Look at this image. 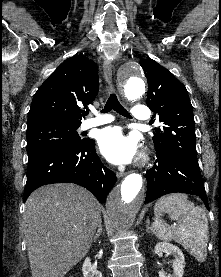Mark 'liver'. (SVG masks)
<instances>
[{
	"instance_id": "6515ba94",
	"label": "liver",
	"mask_w": 221,
	"mask_h": 277,
	"mask_svg": "<svg viewBox=\"0 0 221 277\" xmlns=\"http://www.w3.org/2000/svg\"><path fill=\"white\" fill-rule=\"evenodd\" d=\"M101 205L86 189L48 185L27 199L23 228L32 277H64L87 254Z\"/></svg>"
}]
</instances>
